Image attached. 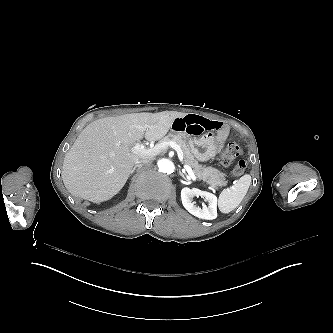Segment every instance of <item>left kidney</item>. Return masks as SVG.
<instances>
[{
  "instance_id": "left-kidney-1",
  "label": "left kidney",
  "mask_w": 333,
  "mask_h": 333,
  "mask_svg": "<svg viewBox=\"0 0 333 333\" xmlns=\"http://www.w3.org/2000/svg\"><path fill=\"white\" fill-rule=\"evenodd\" d=\"M194 196L204 197L208 206L204 205L200 208L192 202ZM181 200L184 208L192 215L206 220H213L217 218V197L207 191H202L197 188L185 187L181 190Z\"/></svg>"
}]
</instances>
